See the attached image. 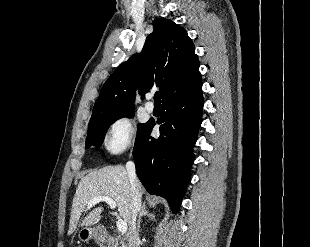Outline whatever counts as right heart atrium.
Masks as SVG:
<instances>
[{"mask_svg":"<svg viewBox=\"0 0 310 247\" xmlns=\"http://www.w3.org/2000/svg\"><path fill=\"white\" fill-rule=\"evenodd\" d=\"M134 137L133 121L128 117H121L112 122L105 134V150L112 155L123 153L133 145Z\"/></svg>","mask_w":310,"mask_h":247,"instance_id":"1","label":"right heart atrium"}]
</instances>
